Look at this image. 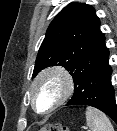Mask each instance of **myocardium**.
Returning <instances> with one entry per match:
<instances>
[{"mask_svg": "<svg viewBox=\"0 0 117 131\" xmlns=\"http://www.w3.org/2000/svg\"><path fill=\"white\" fill-rule=\"evenodd\" d=\"M57 79L62 86V91L57 101L47 110L40 111L36 105L35 91L37 87L46 79ZM74 91V81L71 74L61 66L49 67L42 70L32 81L29 89V98L31 106L39 114H48L63 105Z\"/></svg>", "mask_w": 117, "mask_h": 131, "instance_id": "1", "label": "myocardium"}]
</instances>
